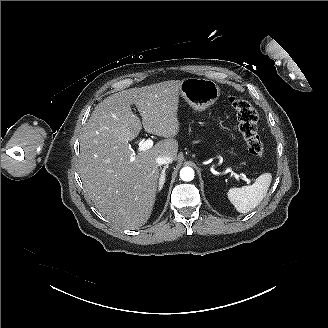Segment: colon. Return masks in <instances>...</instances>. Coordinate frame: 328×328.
I'll use <instances>...</instances> for the list:
<instances>
[{"label": "colon", "instance_id": "5ec220e1", "mask_svg": "<svg viewBox=\"0 0 328 328\" xmlns=\"http://www.w3.org/2000/svg\"><path fill=\"white\" fill-rule=\"evenodd\" d=\"M228 101L236 112L238 129L242 134L249 152L259 158L265 155L263 143L258 134V114L254 107L245 99L229 96Z\"/></svg>", "mask_w": 328, "mask_h": 328}]
</instances>
